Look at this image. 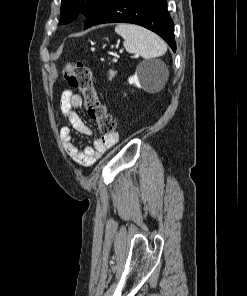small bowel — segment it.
<instances>
[{
    "instance_id": "c3829d8e",
    "label": "small bowel",
    "mask_w": 247,
    "mask_h": 296,
    "mask_svg": "<svg viewBox=\"0 0 247 296\" xmlns=\"http://www.w3.org/2000/svg\"><path fill=\"white\" fill-rule=\"evenodd\" d=\"M82 104V97L71 89H66L62 92L60 109L64 118L76 132L83 135H92L91 128L87 126L76 111ZM60 137L69 157L78 165L89 167L118 142L119 136L117 132H114L111 135L100 137L94 140L92 146H87L83 149L77 146L75 137L69 127H62L60 129Z\"/></svg>"
}]
</instances>
